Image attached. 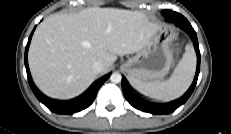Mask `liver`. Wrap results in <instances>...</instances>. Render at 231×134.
Here are the masks:
<instances>
[{"label":"liver","mask_w":231,"mask_h":134,"mask_svg":"<svg viewBox=\"0 0 231 134\" xmlns=\"http://www.w3.org/2000/svg\"><path fill=\"white\" fill-rule=\"evenodd\" d=\"M160 28L139 11L87 8L53 14L36 29L29 66L40 90L55 99H71L95 80L96 61L107 71L117 55L139 52Z\"/></svg>","instance_id":"liver-1"}]
</instances>
